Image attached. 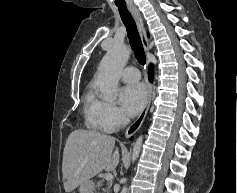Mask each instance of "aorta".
I'll list each match as a JSON object with an SVG mask.
<instances>
[{
  "label": "aorta",
  "instance_id": "762f6f07",
  "mask_svg": "<svg viewBox=\"0 0 237 193\" xmlns=\"http://www.w3.org/2000/svg\"><path fill=\"white\" fill-rule=\"evenodd\" d=\"M129 56L130 48L124 44L116 43L102 58L98 68L97 85L104 100L108 101L117 95L119 74ZM142 142L143 136H139L133 146L132 162L138 158ZM126 181L127 179H124V182ZM120 193H128L127 186H123Z\"/></svg>",
  "mask_w": 237,
  "mask_h": 193
}]
</instances>
